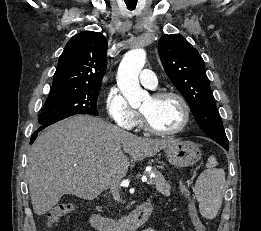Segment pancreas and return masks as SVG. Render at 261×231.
<instances>
[{"mask_svg": "<svg viewBox=\"0 0 261 231\" xmlns=\"http://www.w3.org/2000/svg\"><path fill=\"white\" fill-rule=\"evenodd\" d=\"M149 175H154L153 180V184L154 187L156 188V190L161 193L164 196H170V191H171V185L168 184L163 175L160 173V171L156 170V169H152L149 172Z\"/></svg>", "mask_w": 261, "mask_h": 231, "instance_id": "pancreas-1", "label": "pancreas"}]
</instances>
